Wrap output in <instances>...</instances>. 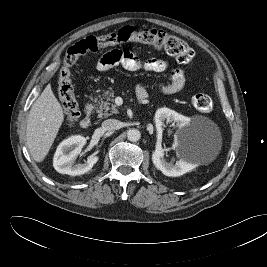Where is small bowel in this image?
<instances>
[{
  "instance_id": "c3829d8e",
  "label": "small bowel",
  "mask_w": 267,
  "mask_h": 267,
  "mask_svg": "<svg viewBox=\"0 0 267 267\" xmlns=\"http://www.w3.org/2000/svg\"><path fill=\"white\" fill-rule=\"evenodd\" d=\"M123 67L129 71L144 70L149 72H163L167 70V61L158 58L141 60L135 54L127 50L113 49L103 54L96 64L98 71L105 72L114 67ZM186 84L185 71L182 68H175L169 75V82L160 86L162 93L166 95L175 94L181 91ZM137 97H147L146 89L143 85L136 86Z\"/></svg>"
}]
</instances>
